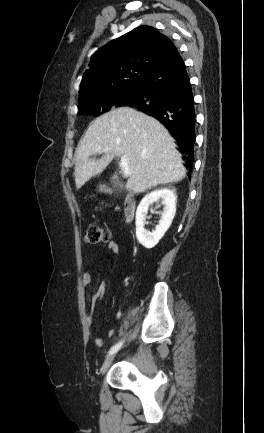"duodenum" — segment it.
Listing matches in <instances>:
<instances>
[{"mask_svg": "<svg viewBox=\"0 0 264 433\" xmlns=\"http://www.w3.org/2000/svg\"><path fill=\"white\" fill-rule=\"evenodd\" d=\"M135 211H136V202L131 196L127 195L123 202V215H124L125 222L128 223L133 220Z\"/></svg>", "mask_w": 264, "mask_h": 433, "instance_id": "410a0bca", "label": "duodenum"}]
</instances>
